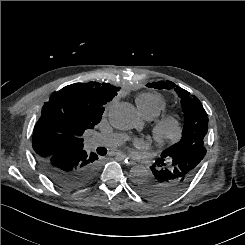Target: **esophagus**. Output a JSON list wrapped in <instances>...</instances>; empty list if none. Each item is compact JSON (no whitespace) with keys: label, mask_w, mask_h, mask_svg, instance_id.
Here are the masks:
<instances>
[{"label":"esophagus","mask_w":245,"mask_h":245,"mask_svg":"<svg viewBox=\"0 0 245 245\" xmlns=\"http://www.w3.org/2000/svg\"><path fill=\"white\" fill-rule=\"evenodd\" d=\"M116 158L123 161L127 166H132L135 164L134 161H132L129 157L123 154H118Z\"/></svg>","instance_id":"obj_1"}]
</instances>
